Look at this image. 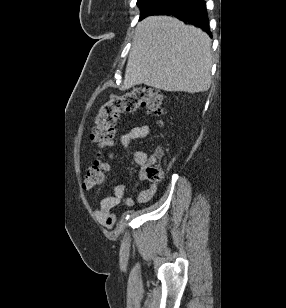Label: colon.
I'll return each mask as SVG.
<instances>
[{"instance_id":"5ec220e1","label":"colon","mask_w":286,"mask_h":308,"mask_svg":"<svg viewBox=\"0 0 286 308\" xmlns=\"http://www.w3.org/2000/svg\"><path fill=\"white\" fill-rule=\"evenodd\" d=\"M145 108L151 113L160 116L165 111L163 96L150 87H135L125 93L115 94L99 107L92 140L98 146V159L87 169L83 187L92 189L102 184L108 164L105 160V149L112 146L116 134V123L122 112H135ZM143 172L151 181L162 178V170L158 161V154L145 162Z\"/></svg>"}]
</instances>
